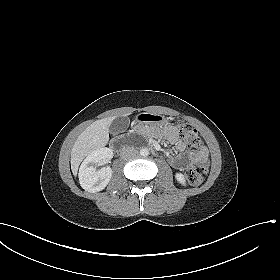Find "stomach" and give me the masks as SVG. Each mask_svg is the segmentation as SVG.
I'll use <instances>...</instances> for the list:
<instances>
[{
	"instance_id": "obj_1",
	"label": "stomach",
	"mask_w": 280,
	"mask_h": 280,
	"mask_svg": "<svg viewBox=\"0 0 280 280\" xmlns=\"http://www.w3.org/2000/svg\"><path fill=\"white\" fill-rule=\"evenodd\" d=\"M138 120L144 123L153 124L157 127H164L168 123L164 116L152 113H142L138 116Z\"/></svg>"
}]
</instances>
